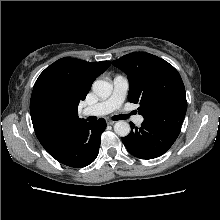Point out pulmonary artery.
Here are the masks:
<instances>
[{"mask_svg": "<svg viewBox=\"0 0 220 220\" xmlns=\"http://www.w3.org/2000/svg\"><path fill=\"white\" fill-rule=\"evenodd\" d=\"M129 83L126 77L118 75L113 79V92L111 96L93 106L83 109L82 114L85 116H103L113 111L120 110L125 100ZM133 121L140 125L143 122V116L137 115Z\"/></svg>", "mask_w": 220, "mask_h": 220, "instance_id": "e3ab8cb5", "label": "pulmonary artery"}]
</instances>
